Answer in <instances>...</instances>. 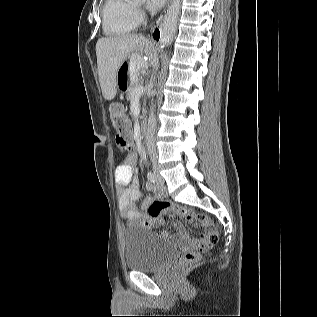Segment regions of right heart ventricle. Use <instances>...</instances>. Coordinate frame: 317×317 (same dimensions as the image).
<instances>
[{
	"label": "right heart ventricle",
	"instance_id": "e07e8e85",
	"mask_svg": "<svg viewBox=\"0 0 317 317\" xmlns=\"http://www.w3.org/2000/svg\"><path fill=\"white\" fill-rule=\"evenodd\" d=\"M138 23L136 8L129 0H105L102 8L105 35L115 37L130 33Z\"/></svg>",
	"mask_w": 317,
	"mask_h": 317
}]
</instances>
